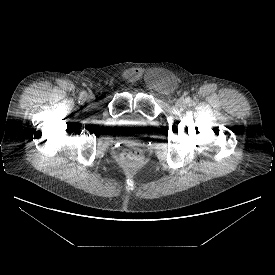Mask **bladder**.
<instances>
[{"mask_svg": "<svg viewBox=\"0 0 275 275\" xmlns=\"http://www.w3.org/2000/svg\"><path fill=\"white\" fill-rule=\"evenodd\" d=\"M120 121H123L121 118L119 119ZM123 126H125L126 124H122Z\"/></svg>", "mask_w": 275, "mask_h": 275, "instance_id": "obj_1", "label": "bladder"}]
</instances>
